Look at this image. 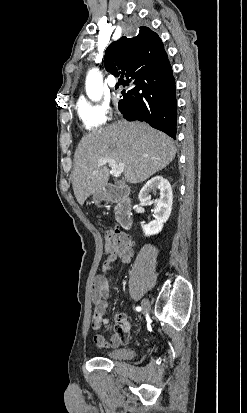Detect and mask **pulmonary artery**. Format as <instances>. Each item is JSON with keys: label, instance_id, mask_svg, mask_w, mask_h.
Returning a JSON list of instances; mask_svg holds the SVG:
<instances>
[{"label": "pulmonary artery", "instance_id": "1", "mask_svg": "<svg viewBox=\"0 0 247 413\" xmlns=\"http://www.w3.org/2000/svg\"><path fill=\"white\" fill-rule=\"evenodd\" d=\"M118 81L114 76H110L108 79V84L111 88H115L117 85Z\"/></svg>", "mask_w": 247, "mask_h": 413}]
</instances>
